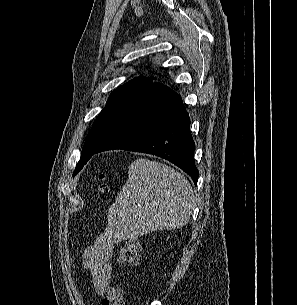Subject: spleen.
<instances>
[{
	"mask_svg": "<svg viewBox=\"0 0 297 305\" xmlns=\"http://www.w3.org/2000/svg\"><path fill=\"white\" fill-rule=\"evenodd\" d=\"M195 196L189 181L166 164L140 158L128 167V180L107 214L117 240L186 225Z\"/></svg>",
	"mask_w": 297,
	"mask_h": 305,
	"instance_id": "1",
	"label": "spleen"
}]
</instances>
